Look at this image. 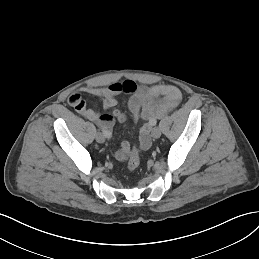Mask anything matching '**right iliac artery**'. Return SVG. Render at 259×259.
I'll use <instances>...</instances> for the list:
<instances>
[{"label": "right iliac artery", "mask_w": 259, "mask_h": 259, "mask_svg": "<svg viewBox=\"0 0 259 259\" xmlns=\"http://www.w3.org/2000/svg\"><path fill=\"white\" fill-rule=\"evenodd\" d=\"M102 132L106 138L112 137V133L110 131L103 129Z\"/></svg>", "instance_id": "right-iliac-artery-1"}]
</instances>
